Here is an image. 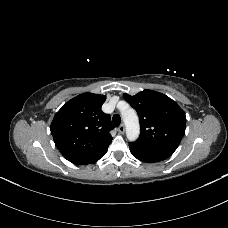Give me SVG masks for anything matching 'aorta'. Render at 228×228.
Masks as SVG:
<instances>
[{
    "mask_svg": "<svg viewBox=\"0 0 228 228\" xmlns=\"http://www.w3.org/2000/svg\"><path fill=\"white\" fill-rule=\"evenodd\" d=\"M122 119L126 126V136L129 141H135L140 134V125L137 113L132 108L123 109Z\"/></svg>",
    "mask_w": 228,
    "mask_h": 228,
    "instance_id": "1",
    "label": "aorta"
}]
</instances>
